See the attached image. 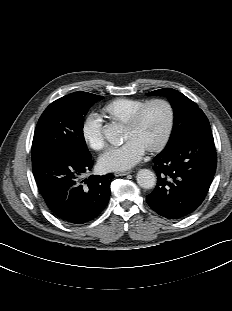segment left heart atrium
<instances>
[{
	"instance_id": "1",
	"label": "left heart atrium",
	"mask_w": 232,
	"mask_h": 311,
	"mask_svg": "<svg viewBox=\"0 0 232 311\" xmlns=\"http://www.w3.org/2000/svg\"><path fill=\"white\" fill-rule=\"evenodd\" d=\"M146 150L147 147L142 142L132 139L104 153L100 157L99 164L107 171L127 170L141 161Z\"/></svg>"
}]
</instances>
